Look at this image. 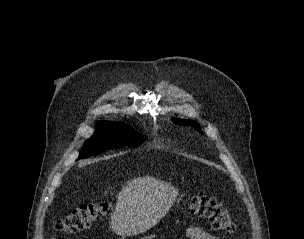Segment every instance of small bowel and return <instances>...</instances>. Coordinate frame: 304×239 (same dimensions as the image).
Wrapping results in <instances>:
<instances>
[{"label":"small bowel","instance_id":"small-bowel-1","mask_svg":"<svg viewBox=\"0 0 304 239\" xmlns=\"http://www.w3.org/2000/svg\"><path fill=\"white\" fill-rule=\"evenodd\" d=\"M186 239H219L199 226H190L185 231ZM57 239V238H51Z\"/></svg>","mask_w":304,"mask_h":239}]
</instances>
